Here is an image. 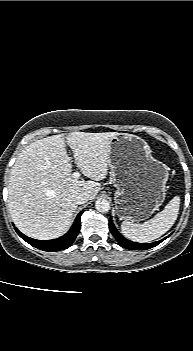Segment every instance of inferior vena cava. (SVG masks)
Instances as JSON below:
<instances>
[{
    "label": "inferior vena cava",
    "mask_w": 193,
    "mask_h": 351,
    "mask_svg": "<svg viewBox=\"0 0 193 351\" xmlns=\"http://www.w3.org/2000/svg\"><path fill=\"white\" fill-rule=\"evenodd\" d=\"M89 200V195L86 192H81L76 196L77 204H84Z\"/></svg>",
    "instance_id": "inferior-vena-cava-1"
}]
</instances>
